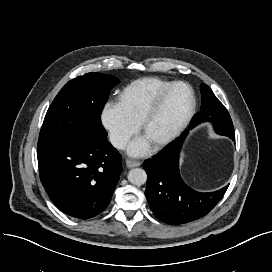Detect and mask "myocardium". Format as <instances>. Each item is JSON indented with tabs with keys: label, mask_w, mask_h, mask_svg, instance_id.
<instances>
[{
	"label": "myocardium",
	"mask_w": 272,
	"mask_h": 272,
	"mask_svg": "<svg viewBox=\"0 0 272 272\" xmlns=\"http://www.w3.org/2000/svg\"><path fill=\"white\" fill-rule=\"evenodd\" d=\"M178 87H184L185 89H187L190 97L189 107L187 109L185 116L174 130H172L169 134H167L163 138L152 143L153 147L156 149H160L174 141L186 129V127L189 125L190 121L194 116L196 108V98L193 89L187 83L174 82L166 90H164L148 107L139 124L140 132L141 133L145 132L150 121L158 113V111L163 106L168 97L172 94V92Z\"/></svg>",
	"instance_id": "f54148a6"
}]
</instances>
